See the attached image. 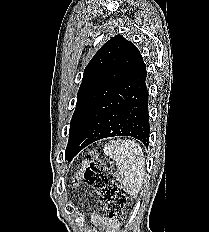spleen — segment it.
<instances>
[{
    "mask_svg": "<svg viewBox=\"0 0 209 232\" xmlns=\"http://www.w3.org/2000/svg\"><path fill=\"white\" fill-rule=\"evenodd\" d=\"M104 153L116 162L118 179L126 192L136 198L143 185L145 159L142 148L133 140L118 139L105 145Z\"/></svg>",
    "mask_w": 209,
    "mask_h": 232,
    "instance_id": "1",
    "label": "spleen"
}]
</instances>
